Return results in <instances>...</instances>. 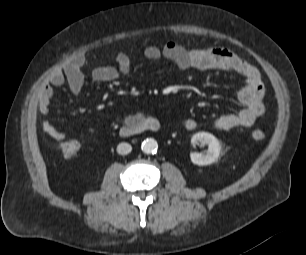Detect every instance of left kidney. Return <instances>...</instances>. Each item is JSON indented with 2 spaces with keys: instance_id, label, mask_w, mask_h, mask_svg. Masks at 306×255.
Instances as JSON below:
<instances>
[{
  "instance_id": "obj_1",
  "label": "left kidney",
  "mask_w": 306,
  "mask_h": 255,
  "mask_svg": "<svg viewBox=\"0 0 306 255\" xmlns=\"http://www.w3.org/2000/svg\"><path fill=\"white\" fill-rule=\"evenodd\" d=\"M208 145L206 153L192 152L190 158L193 164L204 166L215 162L220 154L221 145L217 138L207 132H198L191 138V144L193 146L197 144Z\"/></svg>"
}]
</instances>
